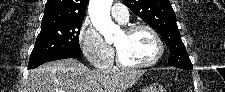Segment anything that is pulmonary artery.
<instances>
[{
    "mask_svg": "<svg viewBox=\"0 0 225 92\" xmlns=\"http://www.w3.org/2000/svg\"><path fill=\"white\" fill-rule=\"evenodd\" d=\"M111 15L114 19L122 24H126L129 21L128 9L124 4H114L111 9Z\"/></svg>",
    "mask_w": 225,
    "mask_h": 92,
    "instance_id": "pulmonary-artery-1",
    "label": "pulmonary artery"
}]
</instances>
